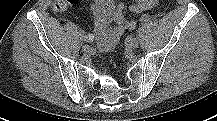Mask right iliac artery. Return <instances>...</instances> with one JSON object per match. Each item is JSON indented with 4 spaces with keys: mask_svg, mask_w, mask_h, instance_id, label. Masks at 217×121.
I'll list each match as a JSON object with an SVG mask.
<instances>
[{
    "mask_svg": "<svg viewBox=\"0 0 217 121\" xmlns=\"http://www.w3.org/2000/svg\"><path fill=\"white\" fill-rule=\"evenodd\" d=\"M79 36H80V39L82 41H84V42H88L89 41L88 37L83 32H80Z\"/></svg>",
    "mask_w": 217,
    "mask_h": 121,
    "instance_id": "82829eb1",
    "label": "right iliac artery"
}]
</instances>
